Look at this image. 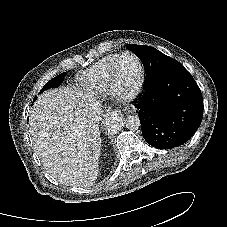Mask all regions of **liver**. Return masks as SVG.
I'll return each mask as SVG.
<instances>
[{
    "label": "liver",
    "mask_w": 227,
    "mask_h": 227,
    "mask_svg": "<svg viewBox=\"0 0 227 227\" xmlns=\"http://www.w3.org/2000/svg\"><path fill=\"white\" fill-rule=\"evenodd\" d=\"M101 104L92 94L51 89L35 101L30 134L47 172L60 183L91 186L98 176Z\"/></svg>",
    "instance_id": "6515ba94"
}]
</instances>
